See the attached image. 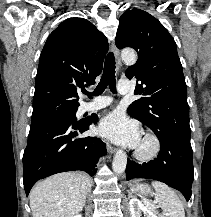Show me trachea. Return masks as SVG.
I'll return each mask as SVG.
<instances>
[{
    "instance_id": "1",
    "label": "trachea",
    "mask_w": 211,
    "mask_h": 217,
    "mask_svg": "<svg viewBox=\"0 0 211 217\" xmlns=\"http://www.w3.org/2000/svg\"><path fill=\"white\" fill-rule=\"evenodd\" d=\"M107 86H109L113 93H116L115 59L112 52H109L106 56L103 75L96 89L93 91V93H88L87 91H84L83 93L92 98V96H98L102 94Z\"/></svg>"
}]
</instances>
